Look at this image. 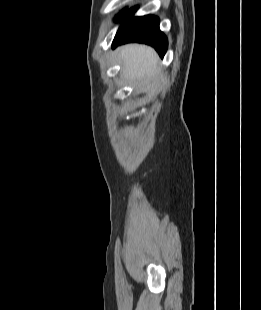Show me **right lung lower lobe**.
<instances>
[{
  "label": "right lung lower lobe",
  "mask_w": 261,
  "mask_h": 310,
  "mask_svg": "<svg viewBox=\"0 0 261 310\" xmlns=\"http://www.w3.org/2000/svg\"><path fill=\"white\" fill-rule=\"evenodd\" d=\"M137 7L131 9L121 18L123 22L120 26L112 47L127 42H140L153 46L161 57L167 50V38L159 29L158 17L147 15L143 17H132Z\"/></svg>",
  "instance_id": "right-lung-lower-lobe-1"
}]
</instances>
